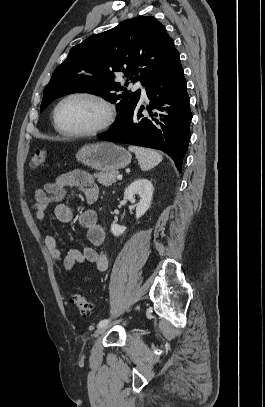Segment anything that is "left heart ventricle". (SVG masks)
Wrapping results in <instances>:
<instances>
[{"mask_svg":"<svg viewBox=\"0 0 265 407\" xmlns=\"http://www.w3.org/2000/svg\"><path fill=\"white\" fill-rule=\"evenodd\" d=\"M105 118L103 107L86 98L67 100L60 107L58 121L66 130H85L100 124Z\"/></svg>","mask_w":265,"mask_h":407,"instance_id":"1","label":"left heart ventricle"}]
</instances>
